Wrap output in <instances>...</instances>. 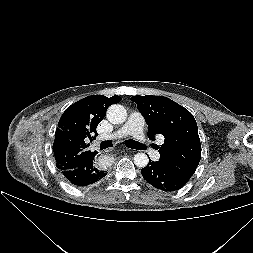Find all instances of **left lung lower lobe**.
Segmentation results:
<instances>
[{
    "mask_svg": "<svg viewBox=\"0 0 253 253\" xmlns=\"http://www.w3.org/2000/svg\"><path fill=\"white\" fill-rule=\"evenodd\" d=\"M141 174L149 184L163 191H175L187 183L158 161L149 160L148 165L141 170Z\"/></svg>",
    "mask_w": 253,
    "mask_h": 253,
    "instance_id": "0a47b994",
    "label": "left lung lower lobe"
}]
</instances>
